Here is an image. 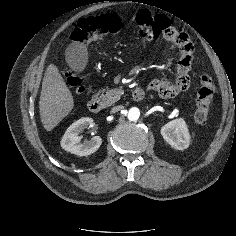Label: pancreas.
Masks as SVG:
<instances>
[{
  "label": "pancreas",
  "mask_w": 236,
  "mask_h": 236,
  "mask_svg": "<svg viewBox=\"0 0 236 236\" xmlns=\"http://www.w3.org/2000/svg\"><path fill=\"white\" fill-rule=\"evenodd\" d=\"M123 91L121 89H103L102 92L95 94V98L105 106H110L120 99Z\"/></svg>",
  "instance_id": "cf45deb5"
}]
</instances>
